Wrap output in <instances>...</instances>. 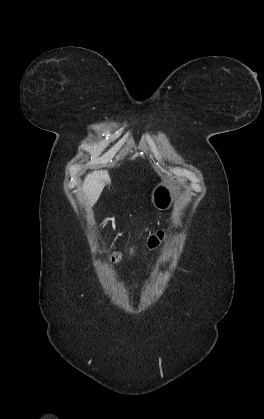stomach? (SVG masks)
<instances>
[{
  "label": "stomach",
  "mask_w": 264,
  "mask_h": 419,
  "mask_svg": "<svg viewBox=\"0 0 264 419\" xmlns=\"http://www.w3.org/2000/svg\"><path fill=\"white\" fill-rule=\"evenodd\" d=\"M182 187L174 182H161L151 192V202L158 210H168L181 195Z\"/></svg>",
  "instance_id": "1"
}]
</instances>
